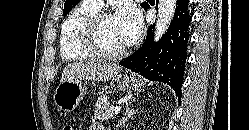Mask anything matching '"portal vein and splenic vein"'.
Segmentation results:
<instances>
[{"instance_id":"1","label":"portal vein and splenic vein","mask_w":249,"mask_h":130,"mask_svg":"<svg viewBox=\"0 0 249 130\" xmlns=\"http://www.w3.org/2000/svg\"><path fill=\"white\" fill-rule=\"evenodd\" d=\"M121 111V107L120 106H116L112 109V114H118Z\"/></svg>"}]
</instances>
